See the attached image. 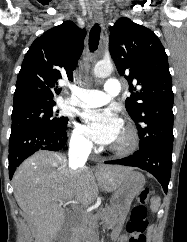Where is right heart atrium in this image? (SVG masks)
<instances>
[{
    "label": "right heart atrium",
    "instance_id": "obj_1",
    "mask_svg": "<svg viewBox=\"0 0 187 242\" xmlns=\"http://www.w3.org/2000/svg\"><path fill=\"white\" fill-rule=\"evenodd\" d=\"M71 146L79 152H86L91 149V142L84 136L79 124H75L71 135Z\"/></svg>",
    "mask_w": 187,
    "mask_h": 242
}]
</instances>
